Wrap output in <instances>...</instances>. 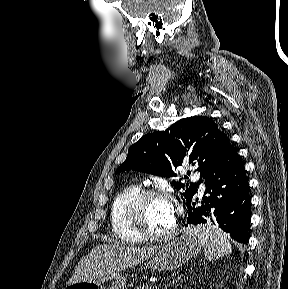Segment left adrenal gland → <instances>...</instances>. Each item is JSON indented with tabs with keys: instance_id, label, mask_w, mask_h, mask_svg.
<instances>
[{
	"instance_id": "1",
	"label": "left adrenal gland",
	"mask_w": 288,
	"mask_h": 289,
	"mask_svg": "<svg viewBox=\"0 0 288 289\" xmlns=\"http://www.w3.org/2000/svg\"><path fill=\"white\" fill-rule=\"evenodd\" d=\"M181 278V275L180 276H178L176 279H175V281L177 280V279H180ZM174 282V281H173Z\"/></svg>"
}]
</instances>
